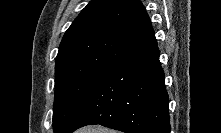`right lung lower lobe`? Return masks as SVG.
<instances>
[{"label": "right lung lower lobe", "instance_id": "obj_1", "mask_svg": "<svg viewBox=\"0 0 221 133\" xmlns=\"http://www.w3.org/2000/svg\"><path fill=\"white\" fill-rule=\"evenodd\" d=\"M164 79L157 46L115 63L96 81L65 133L90 124L125 133H170Z\"/></svg>", "mask_w": 221, "mask_h": 133}]
</instances>
